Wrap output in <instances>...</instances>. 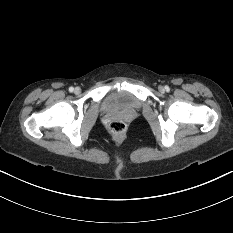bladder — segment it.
Listing matches in <instances>:
<instances>
[{"label":"bladder","mask_w":233,"mask_h":233,"mask_svg":"<svg viewBox=\"0 0 233 233\" xmlns=\"http://www.w3.org/2000/svg\"><path fill=\"white\" fill-rule=\"evenodd\" d=\"M103 106L107 111L130 112L140 107V101L128 90L112 89L106 93Z\"/></svg>","instance_id":"bladder-1"}]
</instances>
